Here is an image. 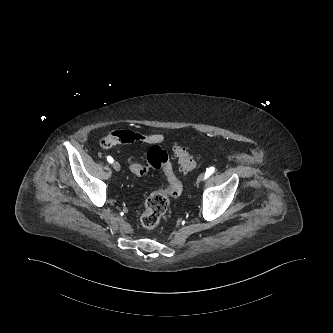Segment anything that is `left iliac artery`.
Segmentation results:
<instances>
[{
  "label": "left iliac artery",
  "mask_w": 333,
  "mask_h": 333,
  "mask_svg": "<svg viewBox=\"0 0 333 333\" xmlns=\"http://www.w3.org/2000/svg\"><path fill=\"white\" fill-rule=\"evenodd\" d=\"M215 171V167H210L206 170V173H205V179H207L210 175H212Z\"/></svg>",
  "instance_id": "44dca946"
}]
</instances>
